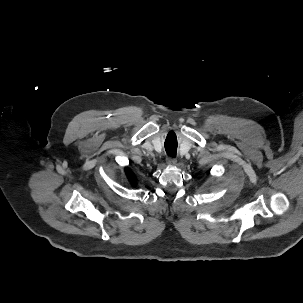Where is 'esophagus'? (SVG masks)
<instances>
[{"label": "esophagus", "mask_w": 303, "mask_h": 303, "mask_svg": "<svg viewBox=\"0 0 303 303\" xmlns=\"http://www.w3.org/2000/svg\"><path fill=\"white\" fill-rule=\"evenodd\" d=\"M167 160H168V163L170 164V165H176V163H177V161H176V158H174V157H168L167 158Z\"/></svg>", "instance_id": "esophagus-1"}]
</instances>
